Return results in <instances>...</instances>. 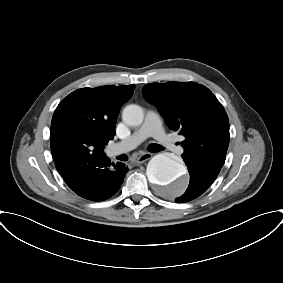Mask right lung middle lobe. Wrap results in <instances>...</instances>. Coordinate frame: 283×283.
<instances>
[{"label":"right lung middle lobe","instance_id":"obj_1","mask_svg":"<svg viewBox=\"0 0 283 283\" xmlns=\"http://www.w3.org/2000/svg\"><path fill=\"white\" fill-rule=\"evenodd\" d=\"M76 159L79 162L86 163L101 155L104 151L100 144L90 139H79L75 144Z\"/></svg>","mask_w":283,"mask_h":283}]
</instances>
